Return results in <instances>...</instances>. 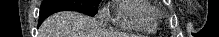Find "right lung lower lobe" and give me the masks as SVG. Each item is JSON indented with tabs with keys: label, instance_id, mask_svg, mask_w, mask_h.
<instances>
[{
	"label": "right lung lower lobe",
	"instance_id": "98d812e1",
	"mask_svg": "<svg viewBox=\"0 0 219 37\" xmlns=\"http://www.w3.org/2000/svg\"><path fill=\"white\" fill-rule=\"evenodd\" d=\"M66 10H70V9H68V8H54V9H50V10H47L44 12H40L39 25L42 23L43 20H45L51 14L59 12V11H66Z\"/></svg>",
	"mask_w": 219,
	"mask_h": 37
}]
</instances>
